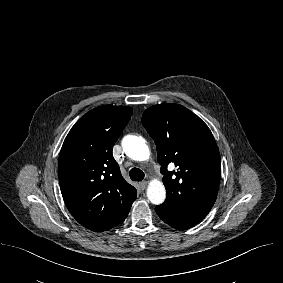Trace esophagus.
Listing matches in <instances>:
<instances>
[{
    "mask_svg": "<svg viewBox=\"0 0 283 283\" xmlns=\"http://www.w3.org/2000/svg\"><path fill=\"white\" fill-rule=\"evenodd\" d=\"M139 186L141 188V190H145L147 187V182L146 181H142L139 183Z\"/></svg>",
    "mask_w": 283,
    "mask_h": 283,
    "instance_id": "obj_1",
    "label": "esophagus"
}]
</instances>
